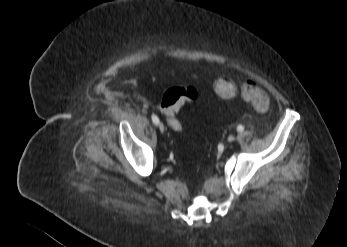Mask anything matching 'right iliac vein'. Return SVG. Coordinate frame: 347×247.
<instances>
[{
    "label": "right iliac vein",
    "mask_w": 347,
    "mask_h": 247,
    "mask_svg": "<svg viewBox=\"0 0 347 247\" xmlns=\"http://www.w3.org/2000/svg\"><path fill=\"white\" fill-rule=\"evenodd\" d=\"M158 127H159L160 132H162V133L165 132V126L163 125V123H159Z\"/></svg>",
    "instance_id": "1"
}]
</instances>
